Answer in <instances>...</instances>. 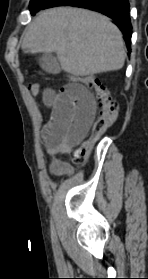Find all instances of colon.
Returning <instances> with one entry per match:
<instances>
[{
    "label": "colon",
    "mask_w": 148,
    "mask_h": 279,
    "mask_svg": "<svg viewBox=\"0 0 148 279\" xmlns=\"http://www.w3.org/2000/svg\"><path fill=\"white\" fill-rule=\"evenodd\" d=\"M72 80L93 90L98 107V114L92 126L90 140L78 150L74 158L75 164L84 165L89 158L92 143L115 123L118 109L104 84L94 75L76 77ZM28 89L34 96L42 93V87L39 83H30Z\"/></svg>",
    "instance_id": "5ec220e1"
}]
</instances>
